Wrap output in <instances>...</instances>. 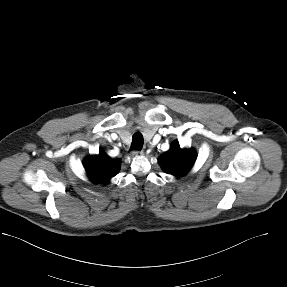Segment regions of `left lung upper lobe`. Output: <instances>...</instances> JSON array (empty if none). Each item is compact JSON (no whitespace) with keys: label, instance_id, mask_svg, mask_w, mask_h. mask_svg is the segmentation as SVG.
Here are the masks:
<instances>
[{"label":"left lung upper lobe","instance_id":"left-lung-upper-lobe-1","mask_svg":"<svg viewBox=\"0 0 287 287\" xmlns=\"http://www.w3.org/2000/svg\"><path fill=\"white\" fill-rule=\"evenodd\" d=\"M195 160V151L180 148L177 141L173 142L170 149L159 157L163 170L176 177L184 176L192 168Z\"/></svg>","mask_w":287,"mask_h":287}]
</instances>
